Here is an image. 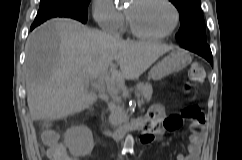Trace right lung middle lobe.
Wrapping results in <instances>:
<instances>
[{"label": "right lung middle lobe", "mask_w": 242, "mask_h": 160, "mask_svg": "<svg viewBox=\"0 0 242 160\" xmlns=\"http://www.w3.org/2000/svg\"><path fill=\"white\" fill-rule=\"evenodd\" d=\"M91 0H40V7L31 27H36L50 18L67 17L86 23Z\"/></svg>", "instance_id": "right-lung-middle-lobe-1"}]
</instances>
